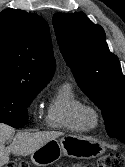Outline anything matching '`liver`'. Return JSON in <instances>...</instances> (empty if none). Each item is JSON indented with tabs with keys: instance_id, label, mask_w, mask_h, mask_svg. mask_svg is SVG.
I'll return each mask as SVG.
<instances>
[{
	"instance_id": "obj_1",
	"label": "liver",
	"mask_w": 125,
	"mask_h": 167,
	"mask_svg": "<svg viewBox=\"0 0 125 167\" xmlns=\"http://www.w3.org/2000/svg\"><path fill=\"white\" fill-rule=\"evenodd\" d=\"M14 133L15 130L12 127L0 123V167L9 162L10 153L22 156L31 155L45 143L63 135L57 131L18 132L15 136ZM13 136L12 143L5 146V142Z\"/></svg>"
}]
</instances>
